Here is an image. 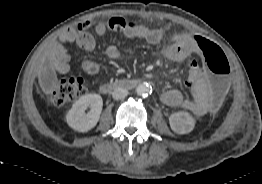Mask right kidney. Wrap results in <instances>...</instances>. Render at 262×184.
<instances>
[{
	"label": "right kidney",
	"mask_w": 262,
	"mask_h": 184,
	"mask_svg": "<svg viewBox=\"0 0 262 184\" xmlns=\"http://www.w3.org/2000/svg\"><path fill=\"white\" fill-rule=\"evenodd\" d=\"M90 111L86 114L87 108ZM103 107V100L99 94H86L80 97L68 111L66 120L68 125L78 131L87 132L95 127L99 121Z\"/></svg>",
	"instance_id": "obj_1"
}]
</instances>
